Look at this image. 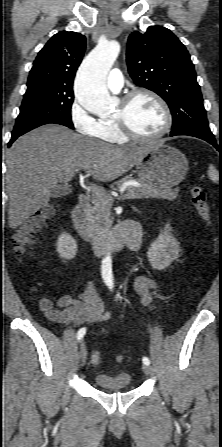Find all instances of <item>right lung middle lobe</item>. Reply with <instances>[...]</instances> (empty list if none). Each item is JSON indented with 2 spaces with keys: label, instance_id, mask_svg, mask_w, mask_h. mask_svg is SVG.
I'll use <instances>...</instances> for the list:
<instances>
[{
  "label": "right lung middle lobe",
  "instance_id": "dd1d6c3e",
  "mask_svg": "<svg viewBox=\"0 0 222 447\" xmlns=\"http://www.w3.org/2000/svg\"><path fill=\"white\" fill-rule=\"evenodd\" d=\"M74 94L50 86L30 87L24 94L12 137L22 134L44 124L55 123L73 129L71 106Z\"/></svg>",
  "mask_w": 222,
  "mask_h": 447
}]
</instances>
